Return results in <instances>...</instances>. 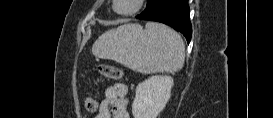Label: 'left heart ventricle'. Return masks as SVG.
Listing matches in <instances>:
<instances>
[{"instance_id":"obj_1","label":"left heart ventricle","mask_w":273,"mask_h":118,"mask_svg":"<svg viewBox=\"0 0 273 118\" xmlns=\"http://www.w3.org/2000/svg\"><path fill=\"white\" fill-rule=\"evenodd\" d=\"M133 5V0H119L117 8L121 11H125L131 9Z\"/></svg>"}]
</instances>
